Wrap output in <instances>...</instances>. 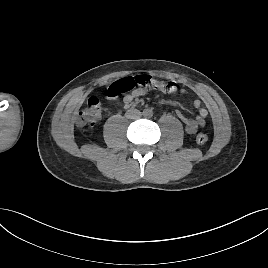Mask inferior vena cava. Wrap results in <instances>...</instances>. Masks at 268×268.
<instances>
[{"label":"inferior vena cava","instance_id":"inferior-vena-cava-1","mask_svg":"<svg viewBox=\"0 0 268 268\" xmlns=\"http://www.w3.org/2000/svg\"><path fill=\"white\" fill-rule=\"evenodd\" d=\"M134 116H128V117H131V118H133V119H138V118H140V116H141V112L140 111H138V110H135L134 111Z\"/></svg>","mask_w":268,"mask_h":268}]
</instances>
